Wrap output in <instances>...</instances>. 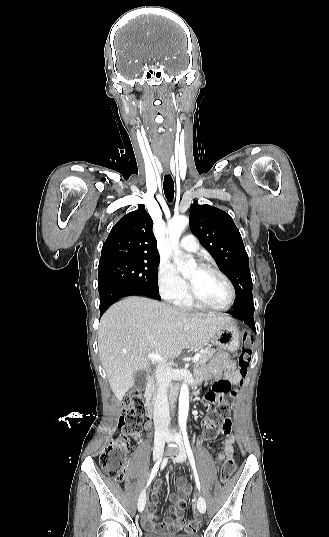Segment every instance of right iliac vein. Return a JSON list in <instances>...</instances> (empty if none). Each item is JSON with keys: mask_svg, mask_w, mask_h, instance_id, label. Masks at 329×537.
Instances as JSON below:
<instances>
[{"mask_svg": "<svg viewBox=\"0 0 329 537\" xmlns=\"http://www.w3.org/2000/svg\"><path fill=\"white\" fill-rule=\"evenodd\" d=\"M165 440H169L168 437H160L155 443L154 458L157 459L162 453V447ZM146 503V491L143 490L138 499V511L142 512L144 510Z\"/></svg>", "mask_w": 329, "mask_h": 537, "instance_id": "obj_1", "label": "right iliac vein"}]
</instances>
